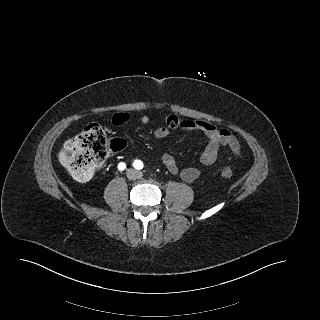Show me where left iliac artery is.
<instances>
[{
  "label": "left iliac artery",
  "mask_w": 320,
  "mask_h": 320,
  "mask_svg": "<svg viewBox=\"0 0 320 320\" xmlns=\"http://www.w3.org/2000/svg\"><path fill=\"white\" fill-rule=\"evenodd\" d=\"M133 166L135 169H142L143 168V162L141 160H135L133 163Z\"/></svg>",
  "instance_id": "left-iliac-artery-1"
}]
</instances>
